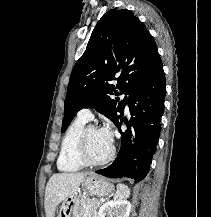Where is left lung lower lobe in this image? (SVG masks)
I'll return each mask as SVG.
<instances>
[{
    "label": "left lung lower lobe",
    "mask_w": 211,
    "mask_h": 217,
    "mask_svg": "<svg viewBox=\"0 0 211 217\" xmlns=\"http://www.w3.org/2000/svg\"><path fill=\"white\" fill-rule=\"evenodd\" d=\"M166 81L163 66L140 82L129 96L131 114L127 130L121 133V148L114 162L96 171L109 178L128 177L138 183L149 172L156 150L160 120L164 111ZM123 118L115 125L121 129Z\"/></svg>",
    "instance_id": "0a47b994"
}]
</instances>
